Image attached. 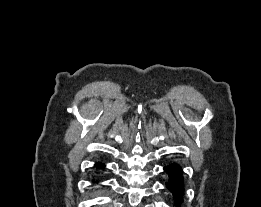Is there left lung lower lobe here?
I'll use <instances>...</instances> for the list:
<instances>
[{
	"label": "left lung lower lobe",
	"instance_id": "obj_1",
	"mask_svg": "<svg viewBox=\"0 0 261 207\" xmlns=\"http://www.w3.org/2000/svg\"><path fill=\"white\" fill-rule=\"evenodd\" d=\"M167 176L166 188L176 199L177 207H180L184 194V180L181 166L177 163H171L164 167Z\"/></svg>",
	"mask_w": 261,
	"mask_h": 207
}]
</instances>
